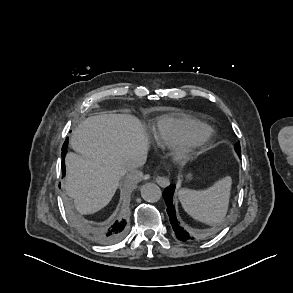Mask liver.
I'll return each instance as SVG.
<instances>
[{"label":"liver","mask_w":293,"mask_h":293,"mask_svg":"<svg viewBox=\"0 0 293 293\" xmlns=\"http://www.w3.org/2000/svg\"><path fill=\"white\" fill-rule=\"evenodd\" d=\"M65 189L81 214L104 208L114 196L128 161L147 154L141 122L130 115L100 114L82 121L70 137Z\"/></svg>","instance_id":"liver-1"}]
</instances>
